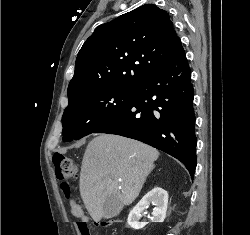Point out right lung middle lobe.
Segmentation results:
<instances>
[{
  "instance_id": "dd1d6c3e",
  "label": "right lung middle lobe",
  "mask_w": 250,
  "mask_h": 235,
  "mask_svg": "<svg viewBox=\"0 0 250 235\" xmlns=\"http://www.w3.org/2000/svg\"><path fill=\"white\" fill-rule=\"evenodd\" d=\"M134 91L101 89L70 101L62 117L63 141L78 140L93 133L126 105Z\"/></svg>"
}]
</instances>
